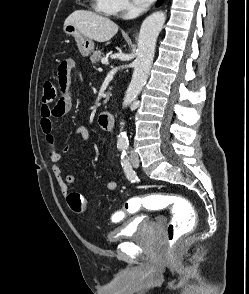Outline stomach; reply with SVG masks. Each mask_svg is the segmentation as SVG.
I'll return each mask as SVG.
<instances>
[{"mask_svg":"<svg viewBox=\"0 0 249 294\" xmlns=\"http://www.w3.org/2000/svg\"><path fill=\"white\" fill-rule=\"evenodd\" d=\"M63 32L68 36H73L77 42L79 52L82 56H89L94 50V43L91 39L82 35L73 24H65Z\"/></svg>","mask_w":249,"mask_h":294,"instance_id":"1","label":"stomach"}]
</instances>
